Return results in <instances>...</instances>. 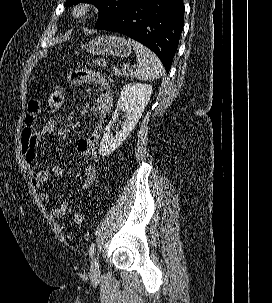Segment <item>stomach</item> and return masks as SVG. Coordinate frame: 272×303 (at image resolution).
<instances>
[{
  "label": "stomach",
  "instance_id": "1",
  "mask_svg": "<svg viewBox=\"0 0 272 303\" xmlns=\"http://www.w3.org/2000/svg\"><path fill=\"white\" fill-rule=\"evenodd\" d=\"M82 49L93 55L128 57L131 54V45L121 37L99 36L81 46Z\"/></svg>",
  "mask_w": 272,
  "mask_h": 303
}]
</instances>
